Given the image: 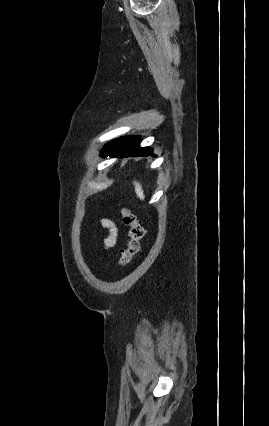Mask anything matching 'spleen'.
I'll use <instances>...</instances> for the list:
<instances>
[{"mask_svg": "<svg viewBox=\"0 0 269 426\" xmlns=\"http://www.w3.org/2000/svg\"><path fill=\"white\" fill-rule=\"evenodd\" d=\"M133 184H134V187H135V193H136L137 197L140 200H144L145 196H144V191L142 189L141 184L139 182H136V181H134Z\"/></svg>", "mask_w": 269, "mask_h": 426, "instance_id": "3e777b00", "label": "spleen"}]
</instances>
